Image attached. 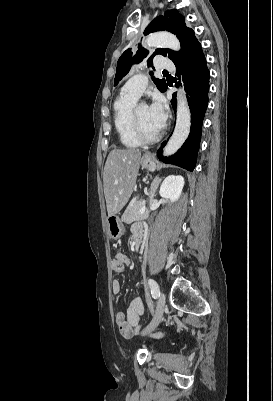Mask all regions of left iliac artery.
<instances>
[{"label":"left iliac artery","instance_id":"left-iliac-artery-1","mask_svg":"<svg viewBox=\"0 0 273 401\" xmlns=\"http://www.w3.org/2000/svg\"><path fill=\"white\" fill-rule=\"evenodd\" d=\"M148 283L151 288V294H152L153 298L156 299L158 296H160L159 286L156 283V281L153 279H149Z\"/></svg>","mask_w":273,"mask_h":401}]
</instances>
